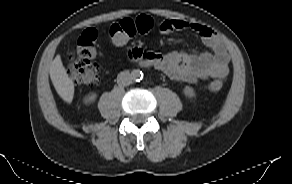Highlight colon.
<instances>
[{
    "label": "colon",
    "mask_w": 292,
    "mask_h": 184,
    "mask_svg": "<svg viewBox=\"0 0 292 184\" xmlns=\"http://www.w3.org/2000/svg\"><path fill=\"white\" fill-rule=\"evenodd\" d=\"M155 29L154 20L143 15L114 23L109 29V38L114 45L121 46L133 36L149 35ZM96 38L97 33L94 29L84 31L69 55L67 73L75 83L82 86L90 87L99 82V66L92 61L96 55ZM223 85L224 79H218L208 83L206 88L211 92H217Z\"/></svg>",
    "instance_id": "1"
}]
</instances>
